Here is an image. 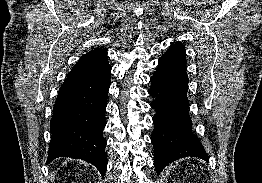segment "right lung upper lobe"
<instances>
[{
	"mask_svg": "<svg viewBox=\"0 0 262 183\" xmlns=\"http://www.w3.org/2000/svg\"><path fill=\"white\" fill-rule=\"evenodd\" d=\"M108 62L107 51L98 48L84 54L77 64H104Z\"/></svg>",
	"mask_w": 262,
	"mask_h": 183,
	"instance_id": "right-lung-upper-lobe-1",
	"label": "right lung upper lobe"
}]
</instances>
